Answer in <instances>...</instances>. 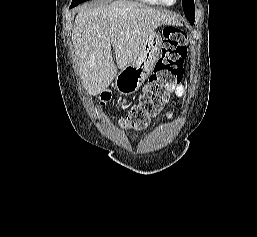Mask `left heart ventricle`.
I'll list each match as a JSON object with an SVG mask.
<instances>
[{"instance_id":"left-heart-ventricle-1","label":"left heart ventricle","mask_w":257,"mask_h":237,"mask_svg":"<svg viewBox=\"0 0 257 237\" xmlns=\"http://www.w3.org/2000/svg\"><path fill=\"white\" fill-rule=\"evenodd\" d=\"M167 2H173L174 0H166Z\"/></svg>"}]
</instances>
